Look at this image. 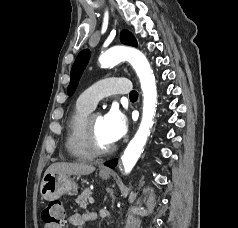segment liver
I'll return each instance as SVG.
<instances>
[{"mask_svg":"<svg viewBox=\"0 0 238 228\" xmlns=\"http://www.w3.org/2000/svg\"><path fill=\"white\" fill-rule=\"evenodd\" d=\"M95 171L93 165L85 163H72V162H58L53 163L48 167L47 173H61L67 175H89Z\"/></svg>","mask_w":238,"mask_h":228,"instance_id":"obj_1","label":"liver"}]
</instances>
